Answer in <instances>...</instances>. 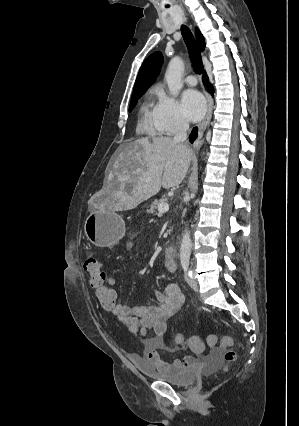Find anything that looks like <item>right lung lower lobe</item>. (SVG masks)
I'll return each instance as SVG.
<instances>
[{
  "mask_svg": "<svg viewBox=\"0 0 299 426\" xmlns=\"http://www.w3.org/2000/svg\"><path fill=\"white\" fill-rule=\"evenodd\" d=\"M203 82L205 83L207 87H209L210 92L213 94V88L211 87L206 74H204L203 76ZM197 130H198L197 127L193 128L192 133L190 134V137H189L191 142H193L195 138L197 137Z\"/></svg>",
  "mask_w": 299,
  "mask_h": 426,
  "instance_id": "obj_1",
  "label": "right lung lower lobe"
}]
</instances>
